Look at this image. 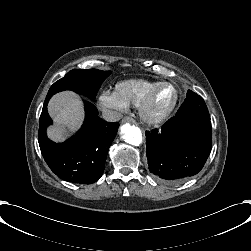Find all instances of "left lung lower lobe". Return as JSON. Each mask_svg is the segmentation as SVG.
Wrapping results in <instances>:
<instances>
[{
	"label": "left lung lower lobe",
	"instance_id": "0a47b994",
	"mask_svg": "<svg viewBox=\"0 0 251 251\" xmlns=\"http://www.w3.org/2000/svg\"><path fill=\"white\" fill-rule=\"evenodd\" d=\"M210 115L183 113L146 132L149 171L161 182L176 184L196 175L212 147Z\"/></svg>",
	"mask_w": 251,
	"mask_h": 251
}]
</instances>
